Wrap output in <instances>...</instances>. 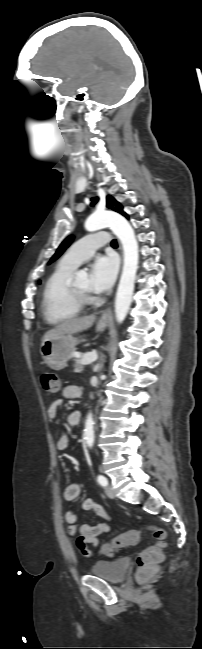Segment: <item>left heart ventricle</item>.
<instances>
[{
  "instance_id": "obj_1",
  "label": "left heart ventricle",
  "mask_w": 202,
  "mask_h": 649,
  "mask_svg": "<svg viewBox=\"0 0 202 649\" xmlns=\"http://www.w3.org/2000/svg\"><path fill=\"white\" fill-rule=\"evenodd\" d=\"M75 284L80 290L84 292L90 291V282H89V278L87 277L76 280Z\"/></svg>"
}]
</instances>
